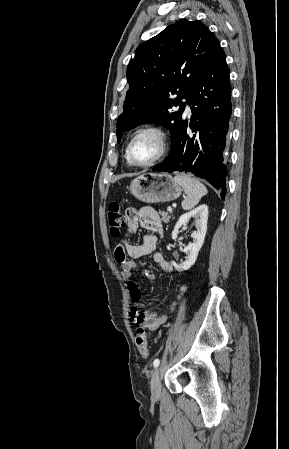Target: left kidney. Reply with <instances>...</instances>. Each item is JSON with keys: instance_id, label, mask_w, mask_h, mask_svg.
Masks as SVG:
<instances>
[{"instance_id": "1", "label": "left kidney", "mask_w": 289, "mask_h": 449, "mask_svg": "<svg viewBox=\"0 0 289 449\" xmlns=\"http://www.w3.org/2000/svg\"><path fill=\"white\" fill-rule=\"evenodd\" d=\"M190 218L196 219V230L191 234V237L193 238V242L188 244L184 248V253L187 255L186 260L181 263L177 264L174 261H172L173 266L177 271H185L190 269L198 256V253L204 243L206 231H207V220H208V207L205 204H202L195 208L194 210L187 212L183 214L178 222L176 223L174 230L172 232V239H176L178 235V230L182 225H185Z\"/></svg>"}]
</instances>
